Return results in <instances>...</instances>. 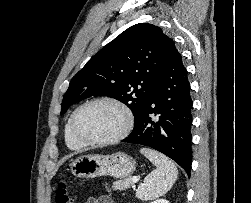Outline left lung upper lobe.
<instances>
[{"instance_id":"5c2ea615","label":"left lung upper lobe","mask_w":251,"mask_h":203,"mask_svg":"<svg viewBox=\"0 0 251 203\" xmlns=\"http://www.w3.org/2000/svg\"><path fill=\"white\" fill-rule=\"evenodd\" d=\"M174 46L155 25L140 23L126 29L72 78L61 114L82 99L109 96L126 104L136 122Z\"/></svg>"}]
</instances>
